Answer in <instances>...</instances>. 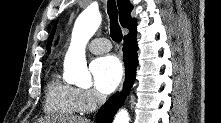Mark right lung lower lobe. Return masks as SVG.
<instances>
[{
	"label": "right lung lower lobe",
	"mask_w": 221,
	"mask_h": 123,
	"mask_svg": "<svg viewBox=\"0 0 221 123\" xmlns=\"http://www.w3.org/2000/svg\"><path fill=\"white\" fill-rule=\"evenodd\" d=\"M137 39L136 34L125 36L123 45V59L125 63L126 80L124 82V90L119 94L113 95L98 111L96 120L98 123H111L117 110L123 104L126 94L135 80L136 67L138 66L137 59Z\"/></svg>",
	"instance_id": "right-lung-lower-lobe-1"
}]
</instances>
